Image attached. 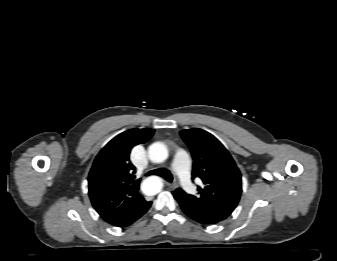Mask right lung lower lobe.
<instances>
[{
  "mask_svg": "<svg viewBox=\"0 0 337 261\" xmlns=\"http://www.w3.org/2000/svg\"><path fill=\"white\" fill-rule=\"evenodd\" d=\"M150 206H151V202H149V205H148V207L145 209L144 213L150 208ZM144 213H143V214H144ZM143 214H142V215H143ZM142 215H141V216H142ZM141 216H140V217H141ZM140 217H139V218H140ZM137 219H138V218H137ZM137 219H136V220H137ZM134 221H135V220H134ZM134 221H131V222H128V223L119 225V226H120V227H123V226H129V225H131Z\"/></svg>",
  "mask_w": 337,
  "mask_h": 261,
  "instance_id": "right-lung-lower-lobe-1",
  "label": "right lung lower lobe"
}]
</instances>
